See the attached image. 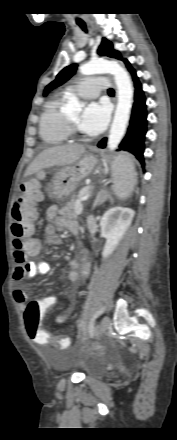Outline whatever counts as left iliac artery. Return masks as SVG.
<instances>
[{
    "mask_svg": "<svg viewBox=\"0 0 177 440\" xmlns=\"http://www.w3.org/2000/svg\"><path fill=\"white\" fill-rule=\"evenodd\" d=\"M103 311H104V308H101L99 311H97V312L93 315V317H92V319H91V321H90V323H89V326H88V331H89V335H90V337H93V336H94V322H95V319H96L99 315H101V314L103 313Z\"/></svg>",
    "mask_w": 177,
    "mask_h": 440,
    "instance_id": "1",
    "label": "left iliac artery"
}]
</instances>
